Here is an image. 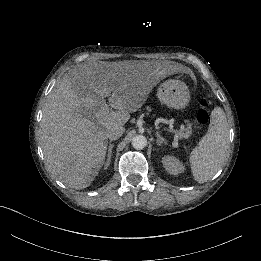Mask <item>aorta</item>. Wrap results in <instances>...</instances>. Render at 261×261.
Instances as JSON below:
<instances>
[{
    "instance_id": "1",
    "label": "aorta",
    "mask_w": 261,
    "mask_h": 261,
    "mask_svg": "<svg viewBox=\"0 0 261 261\" xmlns=\"http://www.w3.org/2000/svg\"><path fill=\"white\" fill-rule=\"evenodd\" d=\"M132 147L136 150H143L147 146V139L143 135H136L131 141Z\"/></svg>"
}]
</instances>
